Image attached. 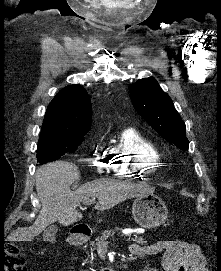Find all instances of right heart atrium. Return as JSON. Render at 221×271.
Listing matches in <instances>:
<instances>
[{"mask_svg":"<svg viewBox=\"0 0 221 271\" xmlns=\"http://www.w3.org/2000/svg\"><path fill=\"white\" fill-rule=\"evenodd\" d=\"M97 157H95V162H99L96 165V170H101V173H114V171H109L108 167L111 165V161H114V155L118 154H111L110 151H97Z\"/></svg>","mask_w":221,"mask_h":271,"instance_id":"right-heart-atrium-1","label":"right heart atrium"}]
</instances>
